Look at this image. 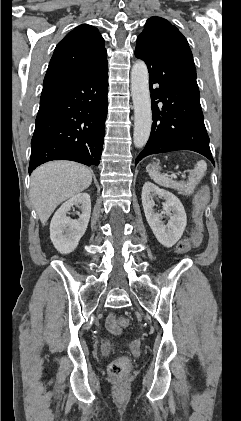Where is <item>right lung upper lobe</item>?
Returning <instances> with one entry per match:
<instances>
[{
  "label": "right lung upper lobe",
  "mask_w": 241,
  "mask_h": 421,
  "mask_svg": "<svg viewBox=\"0 0 241 421\" xmlns=\"http://www.w3.org/2000/svg\"><path fill=\"white\" fill-rule=\"evenodd\" d=\"M104 39L98 29L82 24L68 33L55 48L44 85L88 73L106 62Z\"/></svg>",
  "instance_id": "right-lung-upper-lobe-1"
}]
</instances>
